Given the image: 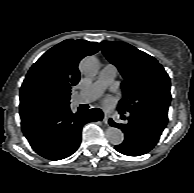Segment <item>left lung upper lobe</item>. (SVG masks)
<instances>
[{
    "label": "left lung upper lobe",
    "mask_w": 194,
    "mask_h": 193,
    "mask_svg": "<svg viewBox=\"0 0 194 193\" xmlns=\"http://www.w3.org/2000/svg\"><path fill=\"white\" fill-rule=\"evenodd\" d=\"M102 51L124 78L121 111L168 112L170 78L154 57L119 41H103Z\"/></svg>",
    "instance_id": "5c2ea615"
}]
</instances>
